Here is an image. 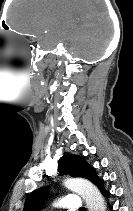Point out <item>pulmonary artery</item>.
Wrapping results in <instances>:
<instances>
[{"mask_svg": "<svg viewBox=\"0 0 133 211\" xmlns=\"http://www.w3.org/2000/svg\"><path fill=\"white\" fill-rule=\"evenodd\" d=\"M59 206L67 211H76L81 208V198L77 194H68L61 198Z\"/></svg>", "mask_w": 133, "mask_h": 211, "instance_id": "pulmonary-artery-1", "label": "pulmonary artery"}]
</instances>
